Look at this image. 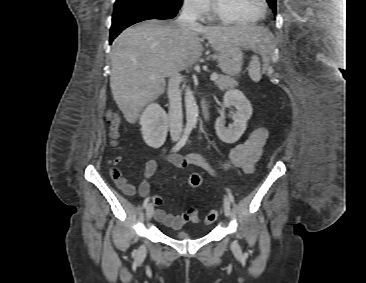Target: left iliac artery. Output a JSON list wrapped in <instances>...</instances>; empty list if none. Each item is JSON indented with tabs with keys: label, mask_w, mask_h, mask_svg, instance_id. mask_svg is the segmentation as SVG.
Returning a JSON list of instances; mask_svg holds the SVG:
<instances>
[{
	"label": "left iliac artery",
	"mask_w": 366,
	"mask_h": 283,
	"mask_svg": "<svg viewBox=\"0 0 366 283\" xmlns=\"http://www.w3.org/2000/svg\"><path fill=\"white\" fill-rule=\"evenodd\" d=\"M227 193H228V199H229V201L231 203H233L234 202V197H233V195H232V193L230 192L229 189H227Z\"/></svg>",
	"instance_id": "obj_1"
}]
</instances>
